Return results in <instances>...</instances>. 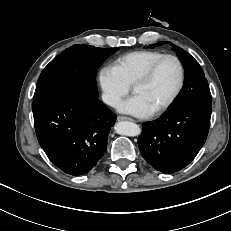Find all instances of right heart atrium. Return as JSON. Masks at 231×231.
Returning a JSON list of instances; mask_svg holds the SVG:
<instances>
[{"label": "right heart atrium", "instance_id": "obj_1", "mask_svg": "<svg viewBox=\"0 0 231 231\" xmlns=\"http://www.w3.org/2000/svg\"><path fill=\"white\" fill-rule=\"evenodd\" d=\"M98 83L103 101L111 107H117L130 90V86L123 80L116 69L110 65H105L99 69Z\"/></svg>", "mask_w": 231, "mask_h": 231}]
</instances>
